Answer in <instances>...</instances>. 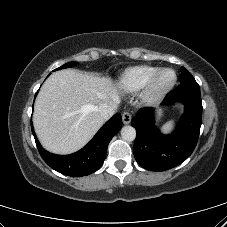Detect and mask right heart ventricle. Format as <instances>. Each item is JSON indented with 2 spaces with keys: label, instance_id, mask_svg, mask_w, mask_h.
I'll return each mask as SVG.
<instances>
[{
  "label": "right heart ventricle",
  "instance_id": "1",
  "mask_svg": "<svg viewBox=\"0 0 227 227\" xmlns=\"http://www.w3.org/2000/svg\"><path fill=\"white\" fill-rule=\"evenodd\" d=\"M160 68L155 66L140 65L126 69L118 79V87L128 93L143 89L151 77Z\"/></svg>",
  "mask_w": 227,
  "mask_h": 227
}]
</instances>
